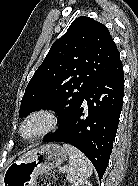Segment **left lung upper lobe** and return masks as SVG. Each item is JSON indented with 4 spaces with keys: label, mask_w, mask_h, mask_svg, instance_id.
I'll return each instance as SVG.
<instances>
[{
    "label": "left lung upper lobe",
    "mask_w": 138,
    "mask_h": 186,
    "mask_svg": "<svg viewBox=\"0 0 138 186\" xmlns=\"http://www.w3.org/2000/svg\"><path fill=\"white\" fill-rule=\"evenodd\" d=\"M119 60L105 25L85 16L76 18L28 83L19 117L42 108L53 110L62 115L60 128L93 84Z\"/></svg>",
    "instance_id": "obj_1"
}]
</instances>
